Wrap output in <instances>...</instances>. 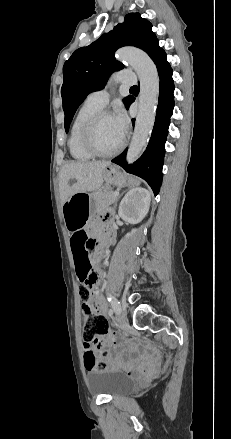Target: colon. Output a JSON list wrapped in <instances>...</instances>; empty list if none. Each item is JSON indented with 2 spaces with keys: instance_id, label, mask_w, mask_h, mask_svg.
<instances>
[{
  "instance_id": "obj_1",
  "label": "colon",
  "mask_w": 231,
  "mask_h": 439,
  "mask_svg": "<svg viewBox=\"0 0 231 439\" xmlns=\"http://www.w3.org/2000/svg\"><path fill=\"white\" fill-rule=\"evenodd\" d=\"M85 238L86 237L83 235H77L75 241L78 243ZM77 275L80 279L79 294L83 301L82 310L85 315L83 337L86 342H96L98 336L106 335L109 331L106 318L102 315L94 314L92 311L97 297L96 292L94 291L96 277L92 273L89 262L79 264ZM149 344L154 347H162L161 344H158L153 340H150ZM170 363L171 354L167 352L164 364L165 369L169 367ZM84 366L88 370H100L107 367V362L97 359L92 351H88L84 354Z\"/></svg>"
}]
</instances>
